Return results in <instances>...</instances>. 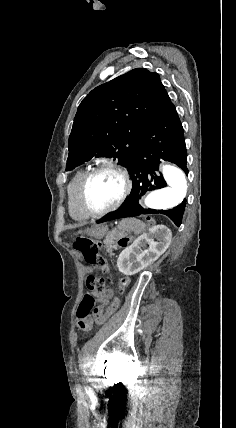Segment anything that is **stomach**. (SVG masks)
<instances>
[{"label": "stomach", "instance_id": "obj_1", "mask_svg": "<svg viewBox=\"0 0 236 428\" xmlns=\"http://www.w3.org/2000/svg\"><path fill=\"white\" fill-rule=\"evenodd\" d=\"M106 232L107 228H105V226H97V228H91V230H89V236L101 240V238H104Z\"/></svg>", "mask_w": 236, "mask_h": 428}]
</instances>
